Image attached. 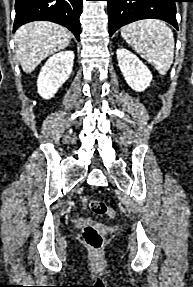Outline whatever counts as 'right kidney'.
<instances>
[{
	"label": "right kidney",
	"mask_w": 193,
	"mask_h": 287,
	"mask_svg": "<svg viewBox=\"0 0 193 287\" xmlns=\"http://www.w3.org/2000/svg\"><path fill=\"white\" fill-rule=\"evenodd\" d=\"M74 57L73 51H62L47 60L37 79L38 93L42 98H52L69 78Z\"/></svg>",
	"instance_id": "right-kidney-1"
}]
</instances>
